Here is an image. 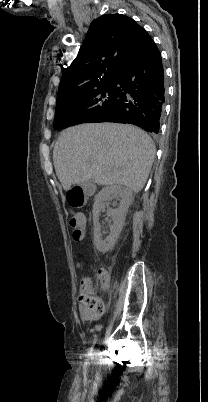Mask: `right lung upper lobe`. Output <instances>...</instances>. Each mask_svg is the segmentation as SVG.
<instances>
[{
    "label": "right lung upper lobe",
    "instance_id": "obj_1",
    "mask_svg": "<svg viewBox=\"0 0 208 402\" xmlns=\"http://www.w3.org/2000/svg\"><path fill=\"white\" fill-rule=\"evenodd\" d=\"M146 34L121 14L93 20L77 57L63 71L58 94L99 80H115Z\"/></svg>",
    "mask_w": 208,
    "mask_h": 402
}]
</instances>
